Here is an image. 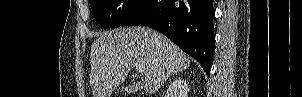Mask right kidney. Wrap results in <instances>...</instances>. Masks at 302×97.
<instances>
[{
	"label": "right kidney",
	"instance_id": "right-kidney-1",
	"mask_svg": "<svg viewBox=\"0 0 302 97\" xmlns=\"http://www.w3.org/2000/svg\"><path fill=\"white\" fill-rule=\"evenodd\" d=\"M188 85L183 79H176L169 87V93L177 92L179 97H187Z\"/></svg>",
	"mask_w": 302,
	"mask_h": 97
}]
</instances>
